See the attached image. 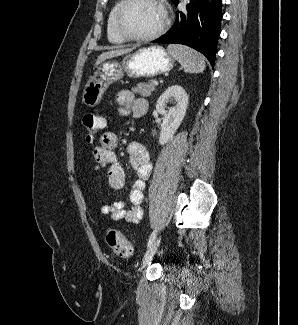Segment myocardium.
<instances>
[{
  "label": "myocardium",
  "instance_id": "obj_1",
  "mask_svg": "<svg viewBox=\"0 0 298 325\" xmlns=\"http://www.w3.org/2000/svg\"><path fill=\"white\" fill-rule=\"evenodd\" d=\"M139 1H148L152 4H154L158 8V10L160 11L161 16H162V21H161L160 26L152 33H150L146 36H143V37L132 36L129 33H127L121 26V19L124 15L125 11L127 10V8L130 5H132L136 2H139ZM167 23H168L167 10L161 0H126L121 4V6L119 7V9L117 11V14L114 19V29H115L116 33L125 41L142 43V42L152 41V40L156 39L157 37H159L164 32V30L167 26Z\"/></svg>",
  "mask_w": 298,
  "mask_h": 325
}]
</instances>
